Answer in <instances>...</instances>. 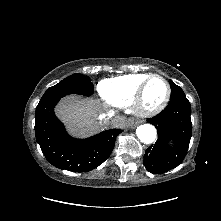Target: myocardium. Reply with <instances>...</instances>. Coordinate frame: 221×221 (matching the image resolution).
Wrapping results in <instances>:
<instances>
[{"instance_id":"1","label":"myocardium","mask_w":221,"mask_h":221,"mask_svg":"<svg viewBox=\"0 0 221 221\" xmlns=\"http://www.w3.org/2000/svg\"><path fill=\"white\" fill-rule=\"evenodd\" d=\"M155 78L162 80L163 83L165 84L166 95H165L164 99L160 103H158L157 105H155L153 107H147L144 105V93H145V90H146L149 82ZM170 97H171V86H170L168 80L159 74L149 75L142 82V84L139 86V88L135 94V97L132 102L133 112L139 117L152 116V115L156 114L157 112L161 111L168 104Z\"/></svg>"}]
</instances>
